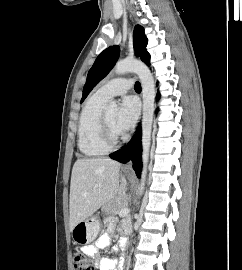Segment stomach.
<instances>
[{
	"mask_svg": "<svg viewBox=\"0 0 242 270\" xmlns=\"http://www.w3.org/2000/svg\"><path fill=\"white\" fill-rule=\"evenodd\" d=\"M99 231V220L90 217L79 222L71 231V236L75 244H89L97 237Z\"/></svg>",
	"mask_w": 242,
	"mask_h": 270,
	"instance_id": "0dacf381",
	"label": "stomach"
}]
</instances>
